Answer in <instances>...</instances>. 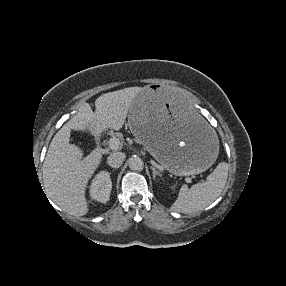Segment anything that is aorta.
<instances>
[{"label":"aorta","mask_w":286,"mask_h":286,"mask_svg":"<svg viewBox=\"0 0 286 286\" xmlns=\"http://www.w3.org/2000/svg\"><path fill=\"white\" fill-rule=\"evenodd\" d=\"M129 168L133 171H142L144 168V163L138 156H133L128 160Z\"/></svg>","instance_id":"762f6f07"}]
</instances>
